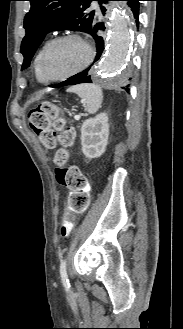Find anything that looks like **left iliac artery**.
Returning <instances> with one entry per match:
<instances>
[{
	"instance_id": "44dca946",
	"label": "left iliac artery",
	"mask_w": 183,
	"mask_h": 329,
	"mask_svg": "<svg viewBox=\"0 0 183 329\" xmlns=\"http://www.w3.org/2000/svg\"><path fill=\"white\" fill-rule=\"evenodd\" d=\"M60 276H61L63 286L65 287L66 290H69L70 283H69V279H68V276H67V268H66V260L65 259H63L61 261V264H60Z\"/></svg>"
}]
</instances>
